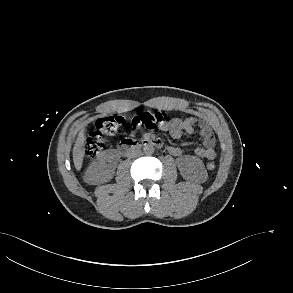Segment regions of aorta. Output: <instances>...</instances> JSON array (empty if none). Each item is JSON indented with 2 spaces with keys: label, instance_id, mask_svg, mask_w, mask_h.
<instances>
[{
  "label": "aorta",
  "instance_id": "aorta-1",
  "mask_svg": "<svg viewBox=\"0 0 293 293\" xmlns=\"http://www.w3.org/2000/svg\"><path fill=\"white\" fill-rule=\"evenodd\" d=\"M143 152L146 155H152L154 153V147L151 144H147L143 148Z\"/></svg>",
  "mask_w": 293,
  "mask_h": 293
}]
</instances>
